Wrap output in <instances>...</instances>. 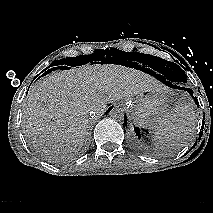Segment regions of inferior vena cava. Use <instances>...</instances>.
Returning a JSON list of instances; mask_svg holds the SVG:
<instances>
[{
	"mask_svg": "<svg viewBox=\"0 0 213 213\" xmlns=\"http://www.w3.org/2000/svg\"><path fill=\"white\" fill-rule=\"evenodd\" d=\"M89 115H90V117L93 118V119L97 117V114H96L95 112H93V111L90 112Z\"/></svg>",
	"mask_w": 213,
	"mask_h": 213,
	"instance_id": "602c4592",
	"label": "inferior vena cava"
}]
</instances>
